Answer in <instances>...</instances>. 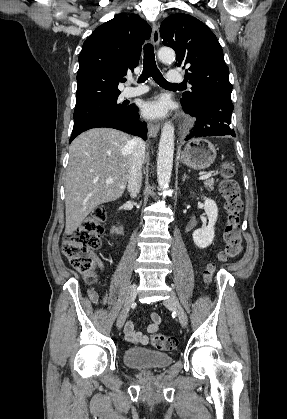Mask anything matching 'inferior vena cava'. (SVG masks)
<instances>
[{
    "instance_id": "obj_1",
    "label": "inferior vena cava",
    "mask_w": 287,
    "mask_h": 419,
    "mask_svg": "<svg viewBox=\"0 0 287 419\" xmlns=\"http://www.w3.org/2000/svg\"><path fill=\"white\" fill-rule=\"evenodd\" d=\"M130 143L133 150L130 159L128 192L132 198H135L140 192L142 183V164L145 159V143L138 137H134Z\"/></svg>"
}]
</instances>
